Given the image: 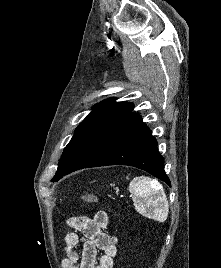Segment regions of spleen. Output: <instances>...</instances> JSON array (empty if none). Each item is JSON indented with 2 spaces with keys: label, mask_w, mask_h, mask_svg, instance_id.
<instances>
[{
  "label": "spleen",
  "mask_w": 221,
  "mask_h": 268,
  "mask_svg": "<svg viewBox=\"0 0 221 268\" xmlns=\"http://www.w3.org/2000/svg\"><path fill=\"white\" fill-rule=\"evenodd\" d=\"M138 213L155 221L164 222L168 216V201L162 184L147 176L134 178L129 184Z\"/></svg>",
  "instance_id": "3e777b00"
}]
</instances>
